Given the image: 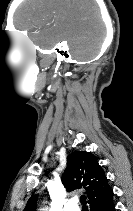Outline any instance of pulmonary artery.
Returning a JSON list of instances; mask_svg holds the SVG:
<instances>
[{"label":"pulmonary artery","mask_w":133,"mask_h":211,"mask_svg":"<svg viewBox=\"0 0 133 211\" xmlns=\"http://www.w3.org/2000/svg\"><path fill=\"white\" fill-rule=\"evenodd\" d=\"M63 211H80V209L77 205V200L76 199L69 200L65 204Z\"/></svg>","instance_id":"1"}]
</instances>
